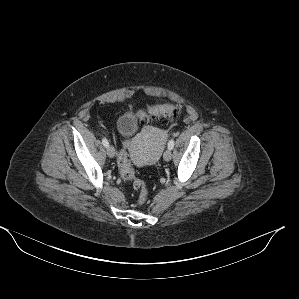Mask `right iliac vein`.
Here are the masks:
<instances>
[{
    "instance_id": "63e3f726",
    "label": "right iliac vein",
    "mask_w": 299,
    "mask_h": 299,
    "mask_svg": "<svg viewBox=\"0 0 299 299\" xmlns=\"http://www.w3.org/2000/svg\"><path fill=\"white\" fill-rule=\"evenodd\" d=\"M115 149L113 146H108L107 147V154L110 158H113L115 156Z\"/></svg>"
}]
</instances>
